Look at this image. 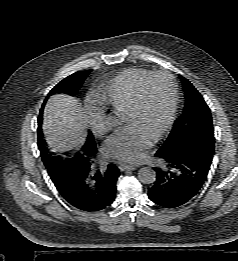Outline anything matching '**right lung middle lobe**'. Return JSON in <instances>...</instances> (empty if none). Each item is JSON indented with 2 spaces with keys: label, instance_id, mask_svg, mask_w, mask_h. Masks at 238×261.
Segmentation results:
<instances>
[{
  "label": "right lung middle lobe",
  "instance_id": "dd1d6c3e",
  "mask_svg": "<svg viewBox=\"0 0 238 261\" xmlns=\"http://www.w3.org/2000/svg\"><path fill=\"white\" fill-rule=\"evenodd\" d=\"M91 70L76 72L62 81H60L49 93H67L75 95L88 76ZM38 125H41V114L38 120ZM41 128H38V147L44 165L47 168L48 174L53 182L64 181L70 177V173L73 172V166L81 163L89 162L94 158L96 153V145L91 133L88 134L87 139L81 150L75 153L73 156L60 157L55 156L47 150L44 140L42 139Z\"/></svg>",
  "mask_w": 238,
  "mask_h": 261
}]
</instances>
